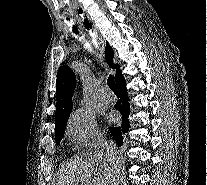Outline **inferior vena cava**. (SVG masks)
I'll use <instances>...</instances> for the list:
<instances>
[{
  "instance_id": "1",
  "label": "inferior vena cava",
  "mask_w": 207,
  "mask_h": 185,
  "mask_svg": "<svg viewBox=\"0 0 207 185\" xmlns=\"http://www.w3.org/2000/svg\"><path fill=\"white\" fill-rule=\"evenodd\" d=\"M106 149H110V153H113V151H114L113 147H110V145H106ZM113 163H116V165H119V161H118L117 157H114ZM113 181H114V177H113Z\"/></svg>"
}]
</instances>
